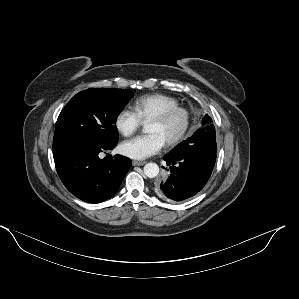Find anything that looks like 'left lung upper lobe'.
Wrapping results in <instances>:
<instances>
[{"label":"left lung upper lobe","instance_id":"5c2ea615","mask_svg":"<svg viewBox=\"0 0 299 299\" xmlns=\"http://www.w3.org/2000/svg\"><path fill=\"white\" fill-rule=\"evenodd\" d=\"M212 120L208 115H205L202 119V125L201 127L186 141H183L179 143L171 152H176L181 149H183V146H186L187 144H193L196 141H199L200 138L209 140L210 142V148L212 149L211 156L216 158V152H217V144H216V132L215 127L212 125Z\"/></svg>","mask_w":299,"mask_h":299}]
</instances>
